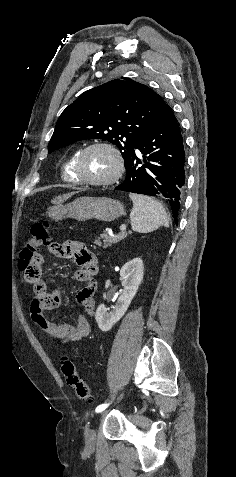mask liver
<instances>
[{
    "instance_id": "obj_1",
    "label": "liver",
    "mask_w": 236,
    "mask_h": 477,
    "mask_svg": "<svg viewBox=\"0 0 236 477\" xmlns=\"http://www.w3.org/2000/svg\"><path fill=\"white\" fill-rule=\"evenodd\" d=\"M74 192L72 193H68V194H65V195H62V196H57L55 197L53 200H52V203L53 204H60L62 203L64 200L68 199L71 195H73Z\"/></svg>"
}]
</instances>
